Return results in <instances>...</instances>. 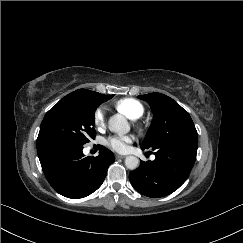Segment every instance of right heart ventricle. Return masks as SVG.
I'll return each instance as SVG.
<instances>
[{
  "label": "right heart ventricle",
  "mask_w": 243,
  "mask_h": 243,
  "mask_svg": "<svg viewBox=\"0 0 243 243\" xmlns=\"http://www.w3.org/2000/svg\"><path fill=\"white\" fill-rule=\"evenodd\" d=\"M115 109L130 120H137L144 113L143 105L136 99L123 98L114 103Z\"/></svg>",
  "instance_id": "right-heart-ventricle-1"
}]
</instances>
